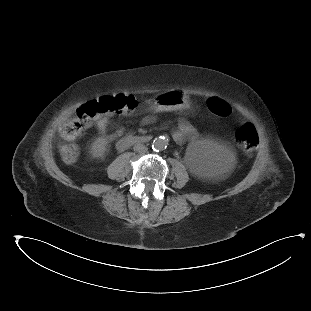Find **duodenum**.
I'll return each instance as SVG.
<instances>
[{
    "mask_svg": "<svg viewBox=\"0 0 311 311\" xmlns=\"http://www.w3.org/2000/svg\"><path fill=\"white\" fill-rule=\"evenodd\" d=\"M152 141L148 135L127 134L120 137L117 141L116 147L120 151L130 149L138 145H147Z\"/></svg>",
    "mask_w": 311,
    "mask_h": 311,
    "instance_id": "obj_1",
    "label": "duodenum"
}]
</instances>
